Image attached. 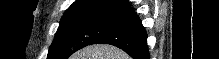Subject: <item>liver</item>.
Masks as SVG:
<instances>
[{
    "label": "liver",
    "instance_id": "6515ba94",
    "mask_svg": "<svg viewBox=\"0 0 219 59\" xmlns=\"http://www.w3.org/2000/svg\"><path fill=\"white\" fill-rule=\"evenodd\" d=\"M70 59H130V57L114 46L97 44L77 51Z\"/></svg>",
    "mask_w": 219,
    "mask_h": 59
}]
</instances>
